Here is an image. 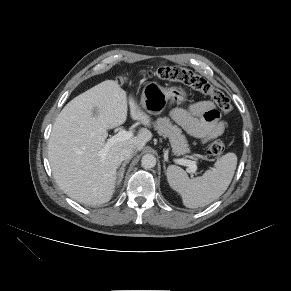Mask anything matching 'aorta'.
Segmentation results:
<instances>
[{
	"label": "aorta",
	"instance_id": "1",
	"mask_svg": "<svg viewBox=\"0 0 291 291\" xmlns=\"http://www.w3.org/2000/svg\"><path fill=\"white\" fill-rule=\"evenodd\" d=\"M141 164L144 168H153L156 165V158L152 154H145L141 159Z\"/></svg>",
	"mask_w": 291,
	"mask_h": 291
}]
</instances>
